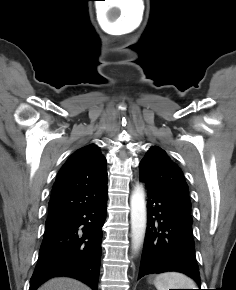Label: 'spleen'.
<instances>
[{
  "label": "spleen",
  "mask_w": 236,
  "mask_h": 290,
  "mask_svg": "<svg viewBox=\"0 0 236 290\" xmlns=\"http://www.w3.org/2000/svg\"><path fill=\"white\" fill-rule=\"evenodd\" d=\"M154 285L157 290L195 288L192 279L179 272H164L157 275L154 279Z\"/></svg>",
  "instance_id": "3e777b00"
}]
</instances>
